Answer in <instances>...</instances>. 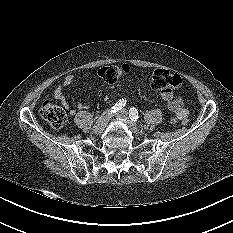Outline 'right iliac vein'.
<instances>
[{
	"label": "right iliac vein",
	"mask_w": 233,
	"mask_h": 233,
	"mask_svg": "<svg viewBox=\"0 0 233 233\" xmlns=\"http://www.w3.org/2000/svg\"><path fill=\"white\" fill-rule=\"evenodd\" d=\"M110 117L111 113L109 111H106L101 116H99V118L93 126V132L95 134H100L105 129Z\"/></svg>",
	"instance_id": "1"
}]
</instances>
